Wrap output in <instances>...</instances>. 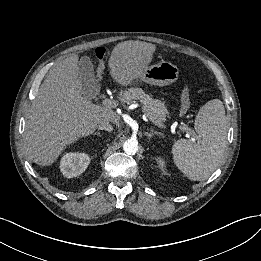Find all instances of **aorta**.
Wrapping results in <instances>:
<instances>
[{
  "instance_id": "1",
  "label": "aorta",
  "mask_w": 261,
  "mask_h": 261,
  "mask_svg": "<svg viewBox=\"0 0 261 261\" xmlns=\"http://www.w3.org/2000/svg\"><path fill=\"white\" fill-rule=\"evenodd\" d=\"M123 150L125 153L131 155L138 151V142L135 139H128L123 144Z\"/></svg>"
}]
</instances>
